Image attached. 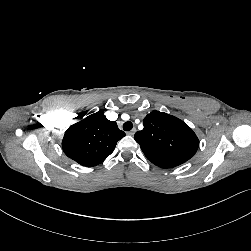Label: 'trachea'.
Wrapping results in <instances>:
<instances>
[{
	"label": "trachea",
	"instance_id": "3493384b",
	"mask_svg": "<svg viewBox=\"0 0 251 251\" xmlns=\"http://www.w3.org/2000/svg\"><path fill=\"white\" fill-rule=\"evenodd\" d=\"M133 128V124L130 121H127L123 124V129L125 131H130Z\"/></svg>",
	"mask_w": 251,
	"mask_h": 251
}]
</instances>
